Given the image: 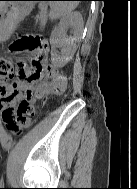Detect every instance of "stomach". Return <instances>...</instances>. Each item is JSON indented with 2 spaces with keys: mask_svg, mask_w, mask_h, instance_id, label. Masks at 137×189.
Here are the masks:
<instances>
[{
  "mask_svg": "<svg viewBox=\"0 0 137 189\" xmlns=\"http://www.w3.org/2000/svg\"><path fill=\"white\" fill-rule=\"evenodd\" d=\"M17 4L15 3H7L5 4L3 10L0 11L1 18H0V29H8L10 26V23L12 22L13 16L17 15V13H14V10L17 8ZM6 13V15L4 14ZM14 16V17H15Z\"/></svg>",
  "mask_w": 137,
  "mask_h": 189,
  "instance_id": "obj_1",
  "label": "stomach"
}]
</instances>
